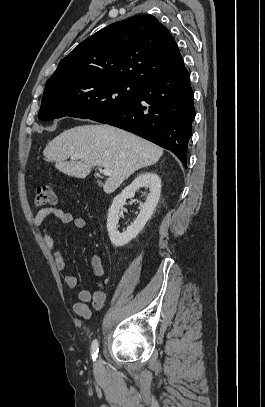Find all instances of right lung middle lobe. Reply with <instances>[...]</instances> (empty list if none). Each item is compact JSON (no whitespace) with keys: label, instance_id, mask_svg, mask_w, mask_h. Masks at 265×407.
<instances>
[{"label":"right lung middle lobe","instance_id":"1","mask_svg":"<svg viewBox=\"0 0 265 407\" xmlns=\"http://www.w3.org/2000/svg\"><path fill=\"white\" fill-rule=\"evenodd\" d=\"M141 85L124 80L87 78L46 84L38 118H93L134 101Z\"/></svg>","mask_w":265,"mask_h":407}]
</instances>
